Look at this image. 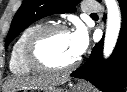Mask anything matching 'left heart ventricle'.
<instances>
[{
	"instance_id": "b2bd125f",
	"label": "left heart ventricle",
	"mask_w": 127,
	"mask_h": 92,
	"mask_svg": "<svg viewBox=\"0 0 127 92\" xmlns=\"http://www.w3.org/2000/svg\"><path fill=\"white\" fill-rule=\"evenodd\" d=\"M40 56L49 65L63 67L73 62L75 55L71 34L57 32L50 35L40 46Z\"/></svg>"
}]
</instances>
